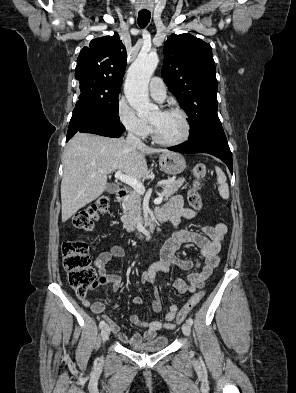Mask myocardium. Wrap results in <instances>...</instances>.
I'll use <instances>...</instances> for the list:
<instances>
[{
  "label": "myocardium",
  "instance_id": "obj_1",
  "mask_svg": "<svg viewBox=\"0 0 296 393\" xmlns=\"http://www.w3.org/2000/svg\"><path fill=\"white\" fill-rule=\"evenodd\" d=\"M161 111L163 113H176V114H179L182 117V120H183V123H184V128H185L184 129V134L178 140L165 141V140L161 139L158 136L154 124L151 123V133H152L153 140L156 143H158V144H160L162 146H169V147H171V146H178V145H181V144L185 143L189 139L190 134H191V124H190V120H189V117H188L187 113L184 110H182L180 108H177V107H169V108L162 109Z\"/></svg>",
  "mask_w": 296,
  "mask_h": 393
}]
</instances>
